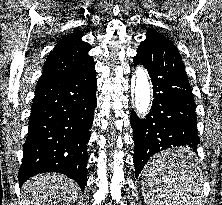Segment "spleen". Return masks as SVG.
Returning a JSON list of instances; mask_svg holds the SVG:
<instances>
[{"instance_id": "spleen-1", "label": "spleen", "mask_w": 222, "mask_h": 205, "mask_svg": "<svg viewBox=\"0 0 222 205\" xmlns=\"http://www.w3.org/2000/svg\"><path fill=\"white\" fill-rule=\"evenodd\" d=\"M142 176L148 205H204L203 179L190 158L158 154L147 162Z\"/></svg>"}]
</instances>
